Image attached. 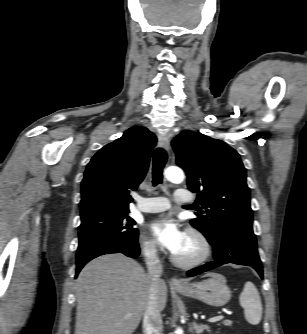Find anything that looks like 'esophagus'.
<instances>
[{
	"label": "esophagus",
	"mask_w": 307,
	"mask_h": 334,
	"mask_svg": "<svg viewBox=\"0 0 307 334\" xmlns=\"http://www.w3.org/2000/svg\"><path fill=\"white\" fill-rule=\"evenodd\" d=\"M159 145L165 150L169 151L170 149V139L167 134H159L158 136ZM169 284L173 287H186L188 284L184 280L178 279L177 277H172L169 281Z\"/></svg>",
	"instance_id": "esophagus-1"
}]
</instances>
